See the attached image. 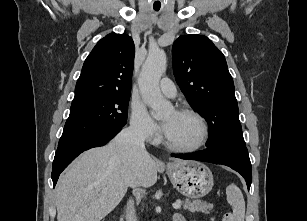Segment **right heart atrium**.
Instances as JSON below:
<instances>
[{"mask_svg": "<svg viewBox=\"0 0 307 221\" xmlns=\"http://www.w3.org/2000/svg\"><path fill=\"white\" fill-rule=\"evenodd\" d=\"M130 124L132 130L143 140L156 142L160 138V129L149 115L144 104L138 100L131 102Z\"/></svg>", "mask_w": 307, "mask_h": 221, "instance_id": "d8ad5b80", "label": "right heart atrium"}]
</instances>
